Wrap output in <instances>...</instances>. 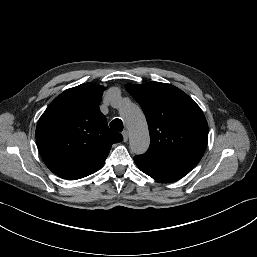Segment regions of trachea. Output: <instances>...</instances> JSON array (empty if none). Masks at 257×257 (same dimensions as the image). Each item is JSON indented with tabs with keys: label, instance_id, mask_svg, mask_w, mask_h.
Masks as SVG:
<instances>
[{
	"label": "trachea",
	"instance_id": "1",
	"mask_svg": "<svg viewBox=\"0 0 257 257\" xmlns=\"http://www.w3.org/2000/svg\"><path fill=\"white\" fill-rule=\"evenodd\" d=\"M110 127L116 131H122L123 130V123L120 119L116 118L110 123Z\"/></svg>",
	"mask_w": 257,
	"mask_h": 257
}]
</instances>
